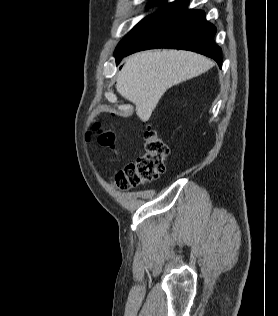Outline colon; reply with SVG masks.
Instances as JSON below:
<instances>
[{
    "label": "colon",
    "instance_id": "colon-1",
    "mask_svg": "<svg viewBox=\"0 0 278 316\" xmlns=\"http://www.w3.org/2000/svg\"><path fill=\"white\" fill-rule=\"evenodd\" d=\"M96 130L98 142L102 146L115 149L114 132L98 127ZM168 153V146L149 126L144 135V154L116 174L115 185L122 190H128L157 179L165 170L164 161Z\"/></svg>",
    "mask_w": 278,
    "mask_h": 316
}]
</instances>
